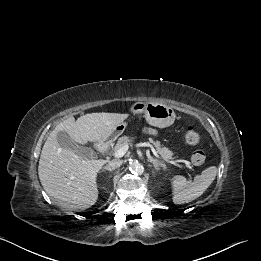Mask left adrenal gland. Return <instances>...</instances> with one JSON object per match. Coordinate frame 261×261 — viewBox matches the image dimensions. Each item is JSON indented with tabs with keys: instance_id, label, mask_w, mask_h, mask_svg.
I'll return each instance as SVG.
<instances>
[{
	"instance_id": "1",
	"label": "left adrenal gland",
	"mask_w": 261,
	"mask_h": 261,
	"mask_svg": "<svg viewBox=\"0 0 261 261\" xmlns=\"http://www.w3.org/2000/svg\"><path fill=\"white\" fill-rule=\"evenodd\" d=\"M148 161L154 165V168H155L157 171L159 170V166H161V167H163V168L165 167V165H164L161 161H159L158 159H155V158L150 157V158L148 159Z\"/></svg>"
}]
</instances>
